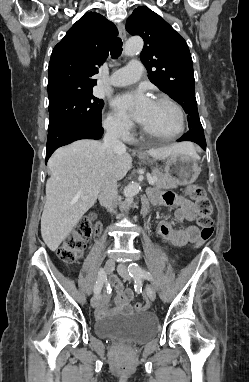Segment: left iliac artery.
I'll return each instance as SVG.
<instances>
[{
    "mask_svg": "<svg viewBox=\"0 0 249 382\" xmlns=\"http://www.w3.org/2000/svg\"><path fill=\"white\" fill-rule=\"evenodd\" d=\"M128 272L135 279V282L140 280L141 278L147 279L149 281L153 280L152 275L150 272L146 271L145 269H142L138 264L131 263L128 266Z\"/></svg>",
    "mask_w": 249,
    "mask_h": 382,
    "instance_id": "1",
    "label": "left iliac artery"
}]
</instances>
